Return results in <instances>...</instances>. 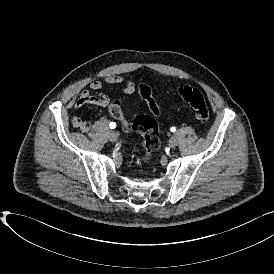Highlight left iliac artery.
<instances>
[{"label": "left iliac artery", "instance_id": "obj_1", "mask_svg": "<svg viewBox=\"0 0 274 274\" xmlns=\"http://www.w3.org/2000/svg\"><path fill=\"white\" fill-rule=\"evenodd\" d=\"M170 130H171V132H175L176 128L175 127H171Z\"/></svg>", "mask_w": 274, "mask_h": 274}]
</instances>
